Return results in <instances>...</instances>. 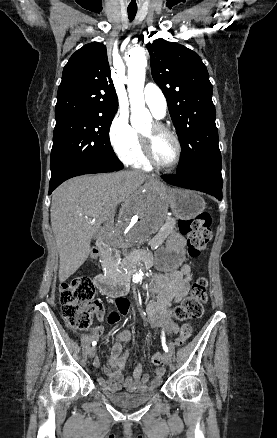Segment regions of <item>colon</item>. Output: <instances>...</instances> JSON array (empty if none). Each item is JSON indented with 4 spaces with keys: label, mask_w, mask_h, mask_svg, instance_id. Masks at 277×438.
<instances>
[{
    "label": "colon",
    "mask_w": 277,
    "mask_h": 438,
    "mask_svg": "<svg viewBox=\"0 0 277 438\" xmlns=\"http://www.w3.org/2000/svg\"><path fill=\"white\" fill-rule=\"evenodd\" d=\"M211 217L203 212L195 219H181L179 229L187 238L186 248L191 257H198L206 248L211 238ZM99 250L94 248L87 253L88 261H96ZM94 286L88 276L73 277L70 281L62 283L60 288V304L64 318L75 330L86 329L96 309L92 302ZM207 302V280L196 278L190 287L188 296L177 308V314L185 319L192 320L203 313L204 304ZM192 334V326L185 323L181 326L179 336L176 338L178 346L183 345ZM152 362L159 366L163 363V355L156 353Z\"/></svg>",
    "instance_id": "5ec220e1"
}]
</instances>
